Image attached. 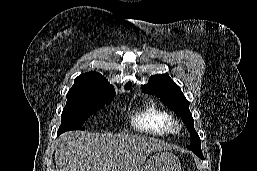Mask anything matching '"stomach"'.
I'll return each instance as SVG.
<instances>
[{
  "label": "stomach",
  "instance_id": "obj_1",
  "mask_svg": "<svg viewBox=\"0 0 257 171\" xmlns=\"http://www.w3.org/2000/svg\"><path fill=\"white\" fill-rule=\"evenodd\" d=\"M179 159L169 152H157L145 163L144 171H181Z\"/></svg>",
  "mask_w": 257,
  "mask_h": 171
}]
</instances>
